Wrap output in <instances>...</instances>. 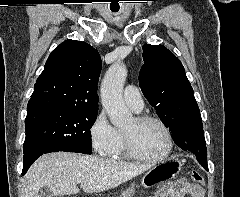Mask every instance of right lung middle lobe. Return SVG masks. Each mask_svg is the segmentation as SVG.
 I'll return each mask as SVG.
<instances>
[{"label": "right lung middle lobe", "instance_id": "dd1d6c3e", "mask_svg": "<svg viewBox=\"0 0 240 197\" xmlns=\"http://www.w3.org/2000/svg\"><path fill=\"white\" fill-rule=\"evenodd\" d=\"M98 109L44 108L27 112L24 160L54 150L91 154V132Z\"/></svg>", "mask_w": 240, "mask_h": 197}]
</instances>
